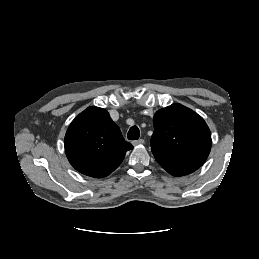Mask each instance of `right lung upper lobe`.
I'll return each instance as SVG.
<instances>
[{
    "label": "right lung upper lobe",
    "mask_w": 259,
    "mask_h": 259,
    "mask_svg": "<svg viewBox=\"0 0 259 259\" xmlns=\"http://www.w3.org/2000/svg\"><path fill=\"white\" fill-rule=\"evenodd\" d=\"M64 145L71 165L80 173L95 178L108 176L133 148L108 112L94 106L71 122Z\"/></svg>",
    "instance_id": "1"
}]
</instances>
